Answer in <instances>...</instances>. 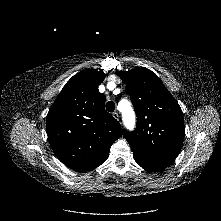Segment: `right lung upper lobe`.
Masks as SVG:
<instances>
[{"label":"right lung upper lobe","mask_w":221,"mask_h":221,"mask_svg":"<svg viewBox=\"0 0 221 221\" xmlns=\"http://www.w3.org/2000/svg\"><path fill=\"white\" fill-rule=\"evenodd\" d=\"M105 74L84 70L72 77L56 98L46 118L50 145L57 157L76 171L101 165L122 130L104 109L106 97L98 86Z\"/></svg>","instance_id":"right-lung-upper-lobe-1"}]
</instances>
